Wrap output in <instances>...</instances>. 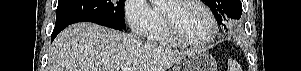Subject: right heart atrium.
<instances>
[{
    "label": "right heart atrium",
    "instance_id": "right-heart-atrium-1",
    "mask_svg": "<svg viewBox=\"0 0 301 71\" xmlns=\"http://www.w3.org/2000/svg\"><path fill=\"white\" fill-rule=\"evenodd\" d=\"M125 18L135 35L146 37L156 22L157 14L146 0H127Z\"/></svg>",
    "mask_w": 301,
    "mask_h": 71
}]
</instances>
